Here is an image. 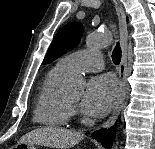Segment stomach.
<instances>
[{"instance_id": "1", "label": "stomach", "mask_w": 155, "mask_h": 149, "mask_svg": "<svg viewBox=\"0 0 155 149\" xmlns=\"http://www.w3.org/2000/svg\"><path fill=\"white\" fill-rule=\"evenodd\" d=\"M14 148H16V149H36L34 144H30V143H18Z\"/></svg>"}]
</instances>
